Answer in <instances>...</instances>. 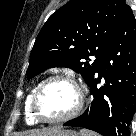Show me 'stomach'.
<instances>
[{"mask_svg": "<svg viewBox=\"0 0 136 136\" xmlns=\"http://www.w3.org/2000/svg\"><path fill=\"white\" fill-rule=\"evenodd\" d=\"M49 136H79L76 131L72 130H63V129H56L52 134Z\"/></svg>", "mask_w": 136, "mask_h": 136, "instance_id": "stomach-1", "label": "stomach"}]
</instances>
